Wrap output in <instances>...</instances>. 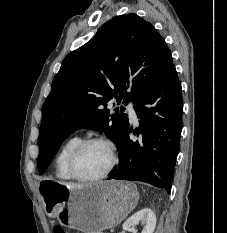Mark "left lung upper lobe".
<instances>
[{
  "mask_svg": "<svg viewBox=\"0 0 227 233\" xmlns=\"http://www.w3.org/2000/svg\"><path fill=\"white\" fill-rule=\"evenodd\" d=\"M173 66L163 37L131 13L106 22L85 45L68 54L42 108L38 171L43 174L62 142L81 128L103 130L118 146L129 122L124 107L152 91ZM119 94V96L117 95Z\"/></svg>",
  "mask_w": 227,
  "mask_h": 233,
  "instance_id": "1",
  "label": "left lung upper lobe"
}]
</instances>
